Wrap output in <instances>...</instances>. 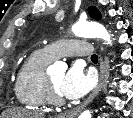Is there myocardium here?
Segmentation results:
<instances>
[{
    "label": "myocardium",
    "mask_w": 133,
    "mask_h": 118,
    "mask_svg": "<svg viewBox=\"0 0 133 118\" xmlns=\"http://www.w3.org/2000/svg\"><path fill=\"white\" fill-rule=\"evenodd\" d=\"M45 99L46 102L50 105L62 106L65 104L64 98L56 92L48 75H46L45 79Z\"/></svg>",
    "instance_id": "myocardium-1"
}]
</instances>
